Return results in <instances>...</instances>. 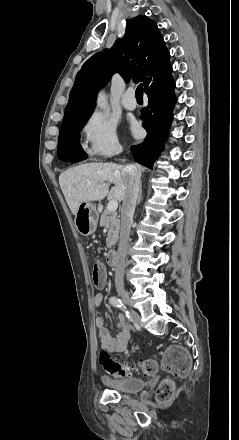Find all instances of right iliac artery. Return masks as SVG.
Here are the masks:
<instances>
[{
	"instance_id": "obj_1",
	"label": "right iliac artery",
	"mask_w": 239,
	"mask_h": 440,
	"mask_svg": "<svg viewBox=\"0 0 239 440\" xmlns=\"http://www.w3.org/2000/svg\"><path fill=\"white\" fill-rule=\"evenodd\" d=\"M109 302H110V304L113 305L114 307H117V308L122 309V310L125 312L126 317L128 318L129 321H132V320H133V318H132V317L130 316V314H129V311L126 309V307L124 306V304L122 303V301H121L119 298H117V297H111V298L109 299Z\"/></svg>"
}]
</instances>
